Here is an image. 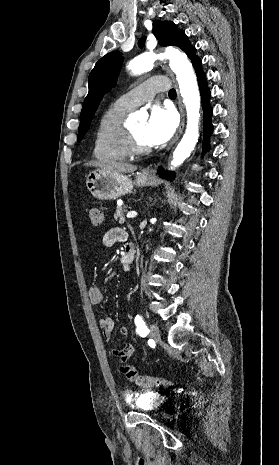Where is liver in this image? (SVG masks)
Masks as SVG:
<instances>
[{
	"label": "liver",
	"instance_id": "6515ba94",
	"mask_svg": "<svg viewBox=\"0 0 279 465\" xmlns=\"http://www.w3.org/2000/svg\"><path fill=\"white\" fill-rule=\"evenodd\" d=\"M87 166L98 167L101 171L113 172V173H131L137 169V166L122 162H101L92 161L86 164Z\"/></svg>",
	"mask_w": 279,
	"mask_h": 465
}]
</instances>
